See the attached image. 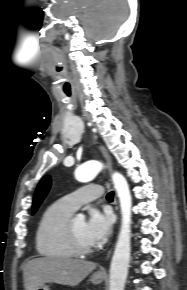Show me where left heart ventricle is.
<instances>
[{
	"mask_svg": "<svg viewBox=\"0 0 187 290\" xmlns=\"http://www.w3.org/2000/svg\"><path fill=\"white\" fill-rule=\"evenodd\" d=\"M72 225L80 242L84 245L92 246L93 244H91L86 237L85 221L83 219L74 218Z\"/></svg>",
	"mask_w": 187,
	"mask_h": 290,
	"instance_id": "left-heart-ventricle-1",
	"label": "left heart ventricle"
}]
</instances>
